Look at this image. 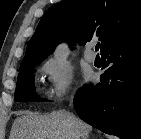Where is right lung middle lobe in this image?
<instances>
[{"label": "right lung middle lobe", "instance_id": "1", "mask_svg": "<svg viewBox=\"0 0 141 139\" xmlns=\"http://www.w3.org/2000/svg\"><path fill=\"white\" fill-rule=\"evenodd\" d=\"M35 66L36 65L20 68L15 90L16 102H36L41 100L36 96L34 91L33 70Z\"/></svg>", "mask_w": 141, "mask_h": 139}]
</instances>
